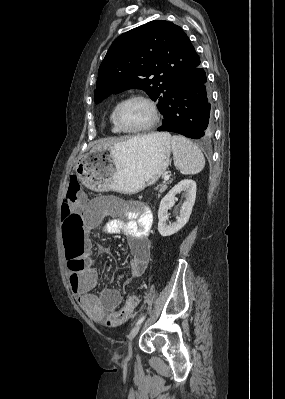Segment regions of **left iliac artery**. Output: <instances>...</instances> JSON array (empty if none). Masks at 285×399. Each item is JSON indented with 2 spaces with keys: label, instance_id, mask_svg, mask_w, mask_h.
<instances>
[{
  "label": "left iliac artery",
  "instance_id": "44dca946",
  "mask_svg": "<svg viewBox=\"0 0 285 399\" xmlns=\"http://www.w3.org/2000/svg\"><path fill=\"white\" fill-rule=\"evenodd\" d=\"M145 318H146V315H142V316L138 319L136 325L142 323V322L144 321Z\"/></svg>",
  "mask_w": 285,
  "mask_h": 399
}]
</instances>
